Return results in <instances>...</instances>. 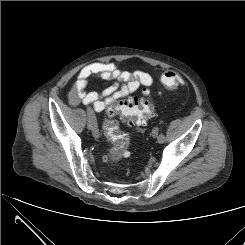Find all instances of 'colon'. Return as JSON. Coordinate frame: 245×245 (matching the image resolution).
Returning a JSON list of instances; mask_svg holds the SVG:
<instances>
[{"instance_id": "1", "label": "colon", "mask_w": 245, "mask_h": 245, "mask_svg": "<svg viewBox=\"0 0 245 245\" xmlns=\"http://www.w3.org/2000/svg\"><path fill=\"white\" fill-rule=\"evenodd\" d=\"M162 84L168 89H175L181 83L180 75L172 70L161 76ZM154 115L150 91L145 89L141 96L122 99L109 107L106 112L104 130L112 142V146L103 156L106 162L114 161L129 155L130 142L128 136L120 130L116 116L121 117L129 126L140 128Z\"/></svg>"}]
</instances>
